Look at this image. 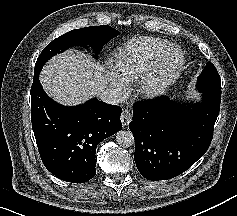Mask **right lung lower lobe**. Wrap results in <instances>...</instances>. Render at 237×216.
Segmentation results:
<instances>
[{"label":"right lung lower lobe","mask_w":237,"mask_h":216,"mask_svg":"<svg viewBox=\"0 0 237 216\" xmlns=\"http://www.w3.org/2000/svg\"><path fill=\"white\" fill-rule=\"evenodd\" d=\"M39 74L31 87V121L45 167L61 180L84 183L95 176L97 145L122 129L119 106L94 98L73 107L44 92Z\"/></svg>","instance_id":"98d812e1"}]
</instances>
